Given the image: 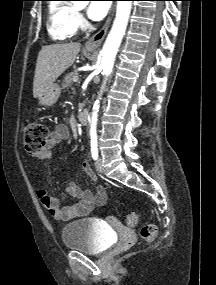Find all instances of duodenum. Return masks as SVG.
<instances>
[{"mask_svg":"<svg viewBox=\"0 0 216 285\" xmlns=\"http://www.w3.org/2000/svg\"><path fill=\"white\" fill-rule=\"evenodd\" d=\"M78 120L82 125H87L89 122V113L86 110H81L78 113Z\"/></svg>","mask_w":216,"mask_h":285,"instance_id":"duodenum-1","label":"duodenum"}]
</instances>
